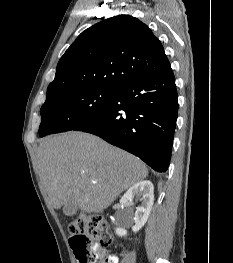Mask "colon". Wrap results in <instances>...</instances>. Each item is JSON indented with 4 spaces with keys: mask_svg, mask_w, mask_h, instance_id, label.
I'll use <instances>...</instances> for the list:
<instances>
[{
    "mask_svg": "<svg viewBox=\"0 0 233 263\" xmlns=\"http://www.w3.org/2000/svg\"><path fill=\"white\" fill-rule=\"evenodd\" d=\"M70 246L79 263H106L112 238L100 214L79 215L68 226Z\"/></svg>",
    "mask_w": 233,
    "mask_h": 263,
    "instance_id": "5ec220e1",
    "label": "colon"
}]
</instances>
